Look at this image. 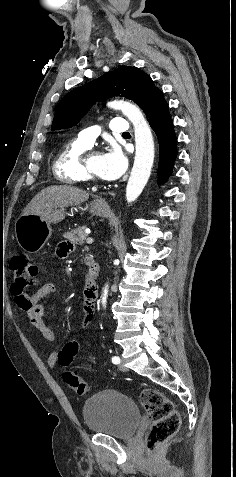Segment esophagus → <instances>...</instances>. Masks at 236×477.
I'll use <instances>...</instances> for the list:
<instances>
[{"instance_id": "obj_1", "label": "esophagus", "mask_w": 236, "mask_h": 477, "mask_svg": "<svg viewBox=\"0 0 236 477\" xmlns=\"http://www.w3.org/2000/svg\"><path fill=\"white\" fill-rule=\"evenodd\" d=\"M101 204L104 205V206H108L107 202H105V201H102Z\"/></svg>"}]
</instances>
